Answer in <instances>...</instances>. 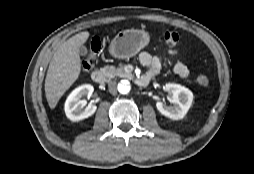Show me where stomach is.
Instances as JSON below:
<instances>
[{
    "mask_svg": "<svg viewBox=\"0 0 254 174\" xmlns=\"http://www.w3.org/2000/svg\"><path fill=\"white\" fill-rule=\"evenodd\" d=\"M150 42L145 30L127 29L119 32L111 41L109 52L113 57L126 59L136 55Z\"/></svg>",
    "mask_w": 254,
    "mask_h": 174,
    "instance_id": "obj_1",
    "label": "stomach"
}]
</instances>
